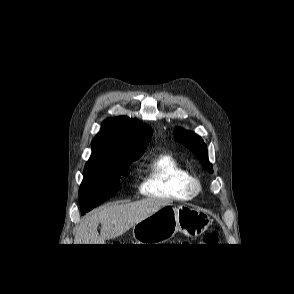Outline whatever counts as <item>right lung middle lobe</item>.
Listing matches in <instances>:
<instances>
[{"label": "right lung middle lobe", "instance_id": "obj_1", "mask_svg": "<svg viewBox=\"0 0 294 294\" xmlns=\"http://www.w3.org/2000/svg\"><path fill=\"white\" fill-rule=\"evenodd\" d=\"M139 157L126 155L92 156L84 169V178L79 189L81 212H87L115 195L120 187V178L131 162Z\"/></svg>", "mask_w": 294, "mask_h": 294}]
</instances>
